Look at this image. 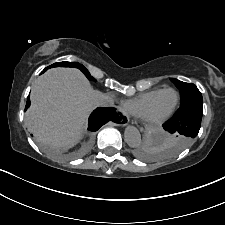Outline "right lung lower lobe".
<instances>
[{
	"instance_id": "right-lung-lower-lobe-1",
	"label": "right lung lower lobe",
	"mask_w": 225,
	"mask_h": 225,
	"mask_svg": "<svg viewBox=\"0 0 225 225\" xmlns=\"http://www.w3.org/2000/svg\"><path fill=\"white\" fill-rule=\"evenodd\" d=\"M48 69L45 68L43 72ZM30 106L29 96L27 98V104L25 110ZM114 118H118L117 112L113 108H97L89 118V130L96 131L98 130L104 123Z\"/></svg>"
}]
</instances>
